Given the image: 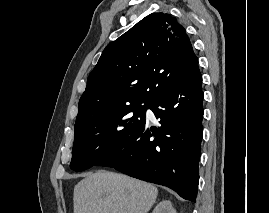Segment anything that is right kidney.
<instances>
[{"mask_svg":"<svg viewBox=\"0 0 270 213\" xmlns=\"http://www.w3.org/2000/svg\"><path fill=\"white\" fill-rule=\"evenodd\" d=\"M152 213H176V210L169 200H163L157 204Z\"/></svg>","mask_w":270,"mask_h":213,"instance_id":"right-kidney-1","label":"right kidney"}]
</instances>
